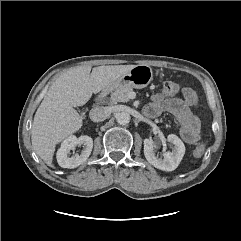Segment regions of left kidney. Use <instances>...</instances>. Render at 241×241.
I'll return each mask as SVG.
<instances>
[{
	"mask_svg": "<svg viewBox=\"0 0 241 241\" xmlns=\"http://www.w3.org/2000/svg\"><path fill=\"white\" fill-rule=\"evenodd\" d=\"M167 140L174 145V149L172 152H164L163 158L155 155L154 143L150 139L144 140V155L146 160L155 168L163 171H173L178 167L185 154V145L181 139L174 134L168 135Z\"/></svg>",
	"mask_w": 241,
	"mask_h": 241,
	"instance_id": "left-kidney-1",
	"label": "left kidney"
}]
</instances>
